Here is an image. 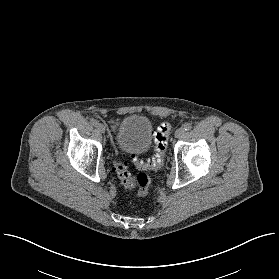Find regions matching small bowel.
<instances>
[{
	"label": "small bowel",
	"mask_w": 279,
	"mask_h": 279,
	"mask_svg": "<svg viewBox=\"0 0 279 279\" xmlns=\"http://www.w3.org/2000/svg\"><path fill=\"white\" fill-rule=\"evenodd\" d=\"M111 125L113 128H115V126L117 125L115 121H111Z\"/></svg>",
	"instance_id": "c3829d8e"
}]
</instances>
